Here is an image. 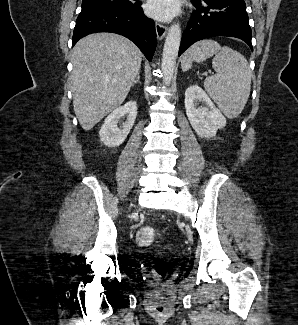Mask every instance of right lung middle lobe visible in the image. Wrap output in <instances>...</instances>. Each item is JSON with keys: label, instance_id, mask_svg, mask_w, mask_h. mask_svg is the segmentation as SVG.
I'll list each match as a JSON object with an SVG mask.
<instances>
[{"label": "right lung middle lobe", "instance_id": "1", "mask_svg": "<svg viewBox=\"0 0 298 325\" xmlns=\"http://www.w3.org/2000/svg\"><path fill=\"white\" fill-rule=\"evenodd\" d=\"M133 4L129 0H83L82 11L95 9L130 8Z\"/></svg>", "mask_w": 298, "mask_h": 325}]
</instances>
